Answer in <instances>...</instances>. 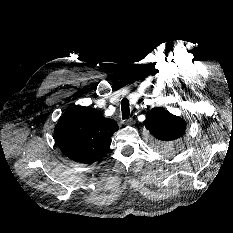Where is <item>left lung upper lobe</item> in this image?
<instances>
[{"label":"left lung upper lobe","mask_w":233,"mask_h":233,"mask_svg":"<svg viewBox=\"0 0 233 233\" xmlns=\"http://www.w3.org/2000/svg\"><path fill=\"white\" fill-rule=\"evenodd\" d=\"M144 125L152 135V143L165 150H172V142L180 138L186 130V122L164 108L151 109Z\"/></svg>","instance_id":"1"}]
</instances>
